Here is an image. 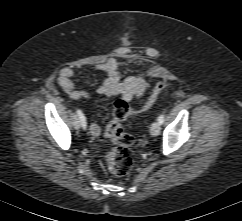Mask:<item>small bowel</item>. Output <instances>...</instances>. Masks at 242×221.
Masks as SVG:
<instances>
[{"label":"small bowel","mask_w":242,"mask_h":221,"mask_svg":"<svg viewBox=\"0 0 242 221\" xmlns=\"http://www.w3.org/2000/svg\"><path fill=\"white\" fill-rule=\"evenodd\" d=\"M120 60L130 63L139 62L136 56L130 55L126 50H121L116 57H111L105 63L97 66L96 71L105 75V80L97 90V94L108 98L120 96L127 102L141 98L149 89L148 81L143 74L122 79L118 71ZM76 77L78 74L72 68L64 67L59 72L58 84L73 100L90 99L92 95L89 92L76 88L74 83ZM100 131V126L97 123L90 124V132L93 136H98Z\"/></svg>","instance_id":"c3829d8e"}]
</instances>
